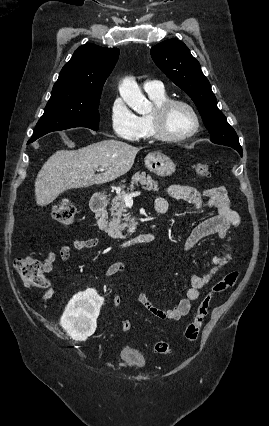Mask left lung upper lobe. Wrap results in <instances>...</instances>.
Here are the masks:
<instances>
[{
	"instance_id": "obj_1",
	"label": "left lung upper lobe",
	"mask_w": 269,
	"mask_h": 426,
	"mask_svg": "<svg viewBox=\"0 0 269 426\" xmlns=\"http://www.w3.org/2000/svg\"><path fill=\"white\" fill-rule=\"evenodd\" d=\"M150 52L156 65L194 101L212 136L210 140L216 144L240 147L235 130L218 109L211 85L188 47L177 39H168L155 45Z\"/></svg>"
}]
</instances>
